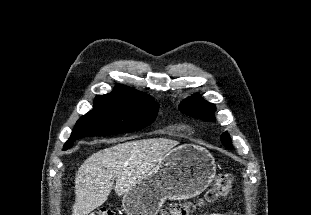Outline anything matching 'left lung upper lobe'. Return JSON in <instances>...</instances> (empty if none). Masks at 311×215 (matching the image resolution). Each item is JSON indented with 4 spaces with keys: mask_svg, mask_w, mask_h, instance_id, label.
Returning <instances> with one entry per match:
<instances>
[{
    "mask_svg": "<svg viewBox=\"0 0 311 215\" xmlns=\"http://www.w3.org/2000/svg\"><path fill=\"white\" fill-rule=\"evenodd\" d=\"M179 108L189 116L195 118L200 117L205 121L215 120L213 116L215 106L212 103L205 101L200 96L193 95L192 97H189L180 104ZM221 141L226 147L231 149V141L227 132H224L221 135Z\"/></svg>",
    "mask_w": 311,
    "mask_h": 215,
    "instance_id": "1",
    "label": "left lung upper lobe"
}]
</instances>
